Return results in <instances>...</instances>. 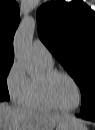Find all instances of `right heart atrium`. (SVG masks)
<instances>
[{"label": "right heart atrium", "instance_id": "d8ad5b80", "mask_svg": "<svg viewBox=\"0 0 95 130\" xmlns=\"http://www.w3.org/2000/svg\"><path fill=\"white\" fill-rule=\"evenodd\" d=\"M5 84L10 98L18 104H23L29 90L30 78L17 61L11 65Z\"/></svg>", "mask_w": 95, "mask_h": 130}]
</instances>
